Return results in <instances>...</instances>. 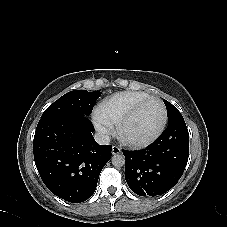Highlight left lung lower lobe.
Returning a JSON list of instances; mask_svg holds the SVG:
<instances>
[{
  "instance_id": "obj_1",
  "label": "left lung lower lobe",
  "mask_w": 227,
  "mask_h": 227,
  "mask_svg": "<svg viewBox=\"0 0 227 227\" xmlns=\"http://www.w3.org/2000/svg\"><path fill=\"white\" fill-rule=\"evenodd\" d=\"M125 179L139 196H157L174 187L181 178L189 156V133L181 116L150 146L142 150H122Z\"/></svg>"
}]
</instances>
